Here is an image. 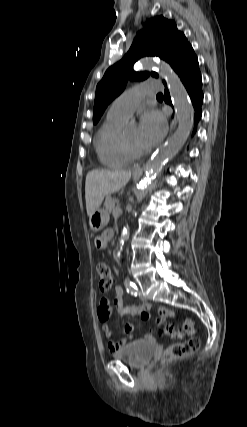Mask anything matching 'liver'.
I'll return each mask as SVG.
<instances>
[{
  "instance_id": "1",
  "label": "liver",
  "mask_w": 247,
  "mask_h": 427,
  "mask_svg": "<svg viewBox=\"0 0 247 427\" xmlns=\"http://www.w3.org/2000/svg\"><path fill=\"white\" fill-rule=\"evenodd\" d=\"M131 178L126 170H91L86 175L85 200L90 217L102 204L104 197L123 188Z\"/></svg>"
}]
</instances>
